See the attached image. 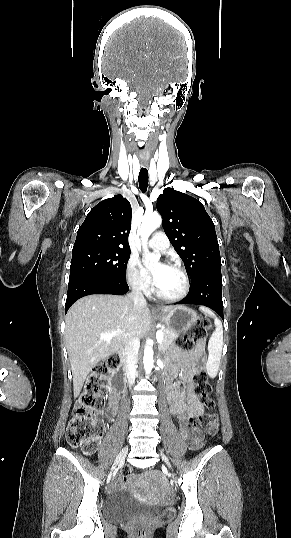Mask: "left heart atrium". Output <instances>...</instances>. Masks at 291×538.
Instances as JSON below:
<instances>
[{
  "mask_svg": "<svg viewBox=\"0 0 291 538\" xmlns=\"http://www.w3.org/2000/svg\"><path fill=\"white\" fill-rule=\"evenodd\" d=\"M168 266L165 265V264H160L159 266H157L154 270L150 271L148 270L146 267H144V273L152 280V282L156 285L157 282L159 281L163 271L167 268Z\"/></svg>",
  "mask_w": 291,
  "mask_h": 538,
  "instance_id": "obj_1",
  "label": "left heart atrium"
}]
</instances>
